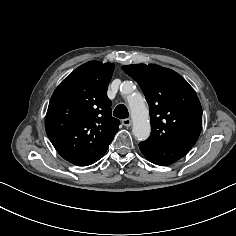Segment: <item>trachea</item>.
<instances>
[{"instance_id": "obj_1", "label": "trachea", "mask_w": 236, "mask_h": 236, "mask_svg": "<svg viewBox=\"0 0 236 236\" xmlns=\"http://www.w3.org/2000/svg\"><path fill=\"white\" fill-rule=\"evenodd\" d=\"M113 115L120 119H125L129 116L128 109L125 105L119 104L116 106Z\"/></svg>"}]
</instances>
